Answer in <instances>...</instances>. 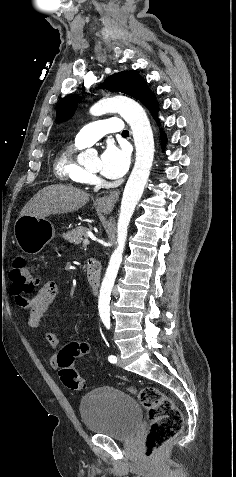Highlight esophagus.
<instances>
[{"label": "esophagus", "instance_id": "1", "mask_svg": "<svg viewBox=\"0 0 236 477\" xmlns=\"http://www.w3.org/2000/svg\"><path fill=\"white\" fill-rule=\"evenodd\" d=\"M119 195H120L119 190L113 191L109 193L108 195L98 198L97 204L103 209L112 210L115 203L119 199Z\"/></svg>", "mask_w": 236, "mask_h": 477}]
</instances>
